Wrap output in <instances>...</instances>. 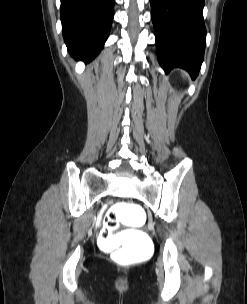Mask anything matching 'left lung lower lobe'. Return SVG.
<instances>
[{
	"mask_svg": "<svg viewBox=\"0 0 247 304\" xmlns=\"http://www.w3.org/2000/svg\"><path fill=\"white\" fill-rule=\"evenodd\" d=\"M158 61L165 72L180 67L193 79L204 59V0H150Z\"/></svg>",
	"mask_w": 247,
	"mask_h": 304,
	"instance_id": "obj_1",
	"label": "left lung lower lobe"
}]
</instances>
